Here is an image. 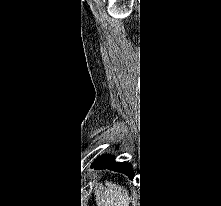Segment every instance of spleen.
I'll use <instances>...</instances> for the list:
<instances>
[{
	"instance_id": "1",
	"label": "spleen",
	"mask_w": 221,
	"mask_h": 206,
	"mask_svg": "<svg viewBox=\"0 0 221 206\" xmlns=\"http://www.w3.org/2000/svg\"><path fill=\"white\" fill-rule=\"evenodd\" d=\"M106 187L101 192L96 191V202L98 206H129L132 196L124 186L106 181Z\"/></svg>"
}]
</instances>
